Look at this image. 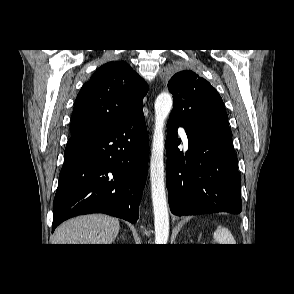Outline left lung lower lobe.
Instances as JSON below:
<instances>
[{
    "label": "left lung lower lobe",
    "mask_w": 294,
    "mask_h": 294,
    "mask_svg": "<svg viewBox=\"0 0 294 294\" xmlns=\"http://www.w3.org/2000/svg\"><path fill=\"white\" fill-rule=\"evenodd\" d=\"M182 126L169 118L167 123L166 185L173 214L240 213L241 178L232 134L185 129L188 151L180 152L177 128Z\"/></svg>",
    "instance_id": "obj_1"
}]
</instances>
